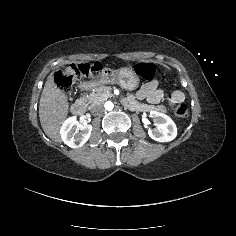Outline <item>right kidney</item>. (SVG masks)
Returning a JSON list of instances; mask_svg holds the SVG:
<instances>
[{"instance_id": "1", "label": "right kidney", "mask_w": 236, "mask_h": 236, "mask_svg": "<svg viewBox=\"0 0 236 236\" xmlns=\"http://www.w3.org/2000/svg\"><path fill=\"white\" fill-rule=\"evenodd\" d=\"M91 131V125L81 124L73 116L64 121L60 129V135L66 145L71 148H78L88 141Z\"/></svg>"}]
</instances>
